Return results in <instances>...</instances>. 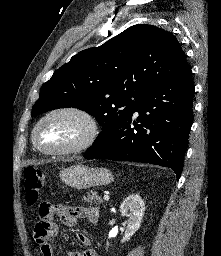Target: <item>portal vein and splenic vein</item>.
I'll return each instance as SVG.
<instances>
[{"label": "portal vein and splenic vein", "mask_w": 221, "mask_h": 256, "mask_svg": "<svg viewBox=\"0 0 221 256\" xmlns=\"http://www.w3.org/2000/svg\"><path fill=\"white\" fill-rule=\"evenodd\" d=\"M103 198H104V200H105V201H108V200L110 199L109 195H107V194H106V195H104V197H103Z\"/></svg>", "instance_id": "obj_1"}]
</instances>
